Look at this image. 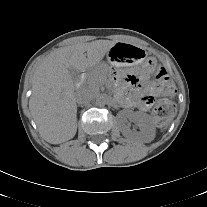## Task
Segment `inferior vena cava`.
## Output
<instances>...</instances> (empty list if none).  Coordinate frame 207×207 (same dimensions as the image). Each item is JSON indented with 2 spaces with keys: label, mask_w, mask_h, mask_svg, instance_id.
<instances>
[{
  "label": "inferior vena cava",
  "mask_w": 207,
  "mask_h": 207,
  "mask_svg": "<svg viewBox=\"0 0 207 207\" xmlns=\"http://www.w3.org/2000/svg\"><path fill=\"white\" fill-rule=\"evenodd\" d=\"M94 98V94L87 88H81L76 92L75 100L78 104H87Z\"/></svg>",
  "instance_id": "obj_1"
}]
</instances>
